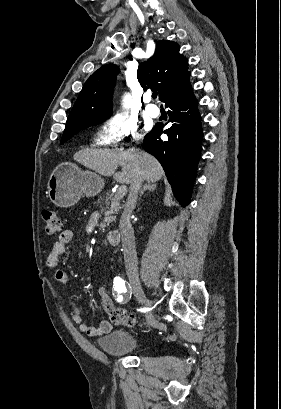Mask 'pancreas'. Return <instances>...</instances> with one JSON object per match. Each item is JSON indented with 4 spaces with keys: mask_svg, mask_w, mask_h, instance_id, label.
Wrapping results in <instances>:
<instances>
[{
    "mask_svg": "<svg viewBox=\"0 0 281 409\" xmlns=\"http://www.w3.org/2000/svg\"><path fill=\"white\" fill-rule=\"evenodd\" d=\"M116 199L117 197L114 196V194H107L104 200L105 207H101V209L102 211H106V215H110V217H105L103 223H101V227H105L106 223L116 221V215H118V211L121 209V207L116 206ZM107 209H110V211H107Z\"/></svg>",
    "mask_w": 281,
    "mask_h": 409,
    "instance_id": "cf45deb5",
    "label": "pancreas"
}]
</instances>
